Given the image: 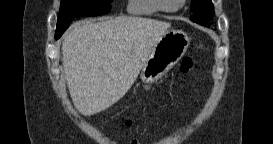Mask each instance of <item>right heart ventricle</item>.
<instances>
[{
	"label": "right heart ventricle",
	"mask_w": 273,
	"mask_h": 144,
	"mask_svg": "<svg viewBox=\"0 0 273 144\" xmlns=\"http://www.w3.org/2000/svg\"><path fill=\"white\" fill-rule=\"evenodd\" d=\"M128 11L136 16H152L157 13L158 8L155 0H130Z\"/></svg>",
	"instance_id": "obj_1"
}]
</instances>
